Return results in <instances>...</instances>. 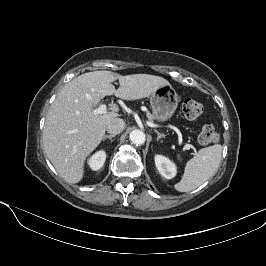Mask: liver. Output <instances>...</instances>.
Instances as JSON below:
<instances>
[{"label": "liver", "instance_id": "liver-1", "mask_svg": "<svg viewBox=\"0 0 266 266\" xmlns=\"http://www.w3.org/2000/svg\"><path fill=\"white\" fill-rule=\"evenodd\" d=\"M115 80L120 84L117 90ZM165 85L170 83L160 76L111 71L88 72L68 82L51 105L43 130L44 151L57 172L69 183L82 180L86 158L104 138L107 123L119 116L117 107L94 114L101 99L114 94L138 100Z\"/></svg>", "mask_w": 266, "mask_h": 266}]
</instances>
